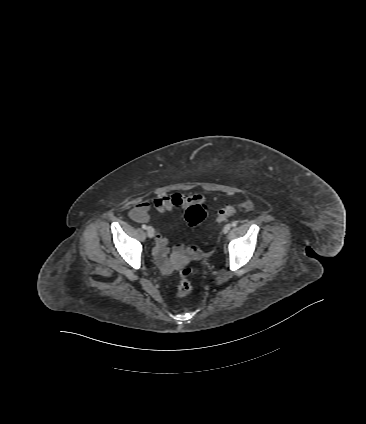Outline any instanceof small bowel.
I'll use <instances>...</instances> for the list:
<instances>
[{
  "label": "small bowel",
  "mask_w": 366,
  "mask_h": 424,
  "mask_svg": "<svg viewBox=\"0 0 366 424\" xmlns=\"http://www.w3.org/2000/svg\"><path fill=\"white\" fill-rule=\"evenodd\" d=\"M203 201V196L200 193H162L156 195L153 200L154 208L163 213L165 211L172 210L174 208H183L187 209L191 205L201 203ZM131 219L138 223H147L152 219V214L150 212V203L148 200H140L135 207L129 212ZM168 239L161 233L157 232L156 235V249L155 257L159 265L165 270H169V262L167 260L168 254ZM183 245L177 244L174 247L175 253H182Z\"/></svg>",
  "instance_id": "c3829d8e"
}]
</instances>
